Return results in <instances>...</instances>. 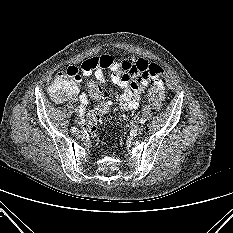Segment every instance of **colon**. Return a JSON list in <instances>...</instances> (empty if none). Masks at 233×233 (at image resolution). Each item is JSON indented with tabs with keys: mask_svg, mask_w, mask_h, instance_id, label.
<instances>
[{
	"mask_svg": "<svg viewBox=\"0 0 233 233\" xmlns=\"http://www.w3.org/2000/svg\"><path fill=\"white\" fill-rule=\"evenodd\" d=\"M150 88L148 91V100L154 109H161L164 103L163 87L155 81H150ZM87 90L89 96L99 101L97 105L90 111L85 122V128L88 131L95 130L101 117L110 109V101L103 96V90L100 82L97 80H90L87 83ZM74 93L73 79L66 72H59L51 86L49 87L50 96L57 102H62L71 97Z\"/></svg>",
	"mask_w": 233,
	"mask_h": 233,
	"instance_id": "colon-1",
	"label": "colon"
}]
</instances>
